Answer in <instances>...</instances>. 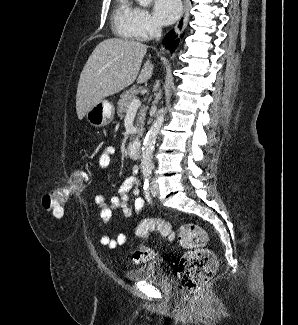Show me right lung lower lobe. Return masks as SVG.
I'll return each mask as SVG.
<instances>
[{
  "label": "right lung lower lobe",
  "mask_w": 298,
  "mask_h": 325,
  "mask_svg": "<svg viewBox=\"0 0 298 325\" xmlns=\"http://www.w3.org/2000/svg\"><path fill=\"white\" fill-rule=\"evenodd\" d=\"M177 36L174 34L173 31L169 32L166 37H165V42H167L168 48L169 49H174L179 42V39L175 40Z\"/></svg>",
  "instance_id": "obj_1"
}]
</instances>
